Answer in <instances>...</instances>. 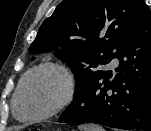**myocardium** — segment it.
Listing matches in <instances>:
<instances>
[{
    "label": "myocardium",
    "instance_id": "1",
    "mask_svg": "<svg viewBox=\"0 0 151 131\" xmlns=\"http://www.w3.org/2000/svg\"><path fill=\"white\" fill-rule=\"evenodd\" d=\"M44 71H53L58 73L61 78L63 79L64 82V91L63 94L60 98V100L57 102V104L52 107L50 110L33 115V116H28V117H23L20 115L19 110H18V103L20 96L29 81L31 77H33L35 74L44 72ZM76 92V79L72 71L66 67L65 65L57 62H46L39 64L32 69H30L21 79L19 86L16 90V93L13 97V102H12V107H13V112L16 117L18 118H25L27 120H43L47 119L50 117L55 116L59 112H61L63 109H65L73 100Z\"/></svg>",
    "mask_w": 151,
    "mask_h": 131
}]
</instances>
